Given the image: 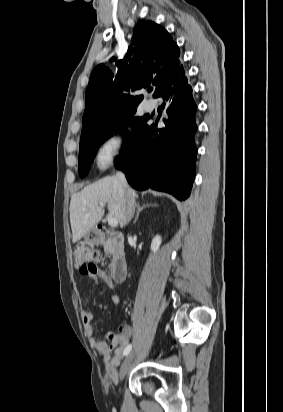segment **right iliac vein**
Wrapping results in <instances>:
<instances>
[{
    "label": "right iliac vein",
    "instance_id": "obj_1",
    "mask_svg": "<svg viewBox=\"0 0 283 412\" xmlns=\"http://www.w3.org/2000/svg\"><path fill=\"white\" fill-rule=\"evenodd\" d=\"M138 352H139V349H135L124 359L121 365V368H120V372H119L120 380H123L125 375L130 370L132 362L134 358L136 357V355L138 354Z\"/></svg>",
    "mask_w": 283,
    "mask_h": 412
}]
</instances>
